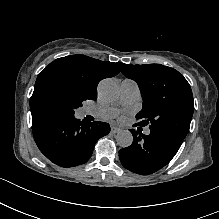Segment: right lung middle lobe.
<instances>
[{
	"instance_id": "dd1d6c3e",
	"label": "right lung middle lobe",
	"mask_w": 219,
	"mask_h": 219,
	"mask_svg": "<svg viewBox=\"0 0 219 219\" xmlns=\"http://www.w3.org/2000/svg\"><path fill=\"white\" fill-rule=\"evenodd\" d=\"M86 100L87 96L78 85L58 76H50L35 85L30 107L54 109L71 116Z\"/></svg>"
}]
</instances>
